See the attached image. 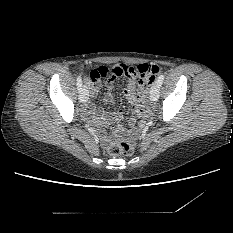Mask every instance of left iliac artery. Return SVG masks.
Returning <instances> with one entry per match:
<instances>
[{
    "instance_id": "obj_1",
    "label": "left iliac artery",
    "mask_w": 233,
    "mask_h": 233,
    "mask_svg": "<svg viewBox=\"0 0 233 233\" xmlns=\"http://www.w3.org/2000/svg\"><path fill=\"white\" fill-rule=\"evenodd\" d=\"M163 80H164V75L163 74H161L160 76H159V78H158V84H159V86H161L162 85V83H163Z\"/></svg>"
}]
</instances>
